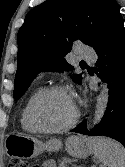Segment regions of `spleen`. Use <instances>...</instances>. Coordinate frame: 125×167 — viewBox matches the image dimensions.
Instances as JSON below:
<instances>
[{"label": "spleen", "mask_w": 125, "mask_h": 167, "mask_svg": "<svg viewBox=\"0 0 125 167\" xmlns=\"http://www.w3.org/2000/svg\"><path fill=\"white\" fill-rule=\"evenodd\" d=\"M94 155L104 167H125V148L117 141L105 137L90 140Z\"/></svg>", "instance_id": "obj_1"}]
</instances>
